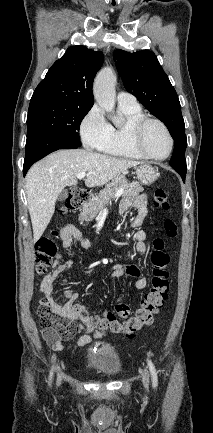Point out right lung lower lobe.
I'll return each mask as SVG.
<instances>
[{
	"instance_id": "right-lung-lower-lobe-1",
	"label": "right lung lower lobe",
	"mask_w": 213,
	"mask_h": 433,
	"mask_svg": "<svg viewBox=\"0 0 213 433\" xmlns=\"http://www.w3.org/2000/svg\"><path fill=\"white\" fill-rule=\"evenodd\" d=\"M80 146L75 145L63 138L47 133H39L34 136L27 137L26 154L23 166V175L25 176L28 169L37 160L45 157L59 149H75Z\"/></svg>"
}]
</instances>
